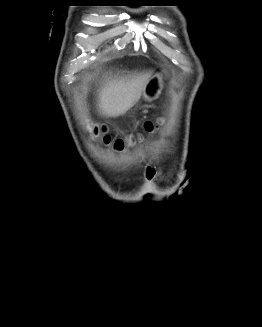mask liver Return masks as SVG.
<instances>
[{
    "label": "liver",
    "instance_id": "obj_1",
    "mask_svg": "<svg viewBox=\"0 0 262 327\" xmlns=\"http://www.w3.org/2000/svg\"><path fill=\"white\" fill-rule=\"evenodd\" d=\"M152 71L129 76L104 77L98 89L97 109L104 117L125 114L140 99Z\"/></svg>",
    "mask_w": 262,
    "mask_h": 327
}]
</instances>
